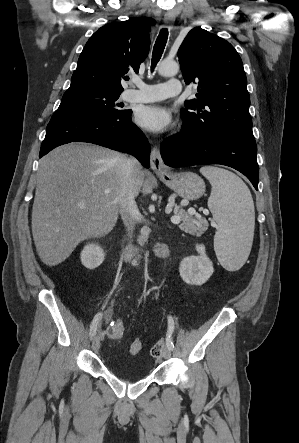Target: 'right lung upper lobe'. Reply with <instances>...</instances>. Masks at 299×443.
<instances>
[{
    "label": "right lung upper lobe",
    "instance_id": "obj_1",
    "mask_svg": "<svg viewBox=\"0 0 299 443\" xmlns=\"http://www.w3.org/2000/svg\"><path fill=\"white\" fill-rule=\"evenodd\" d=\"M147 25L140 17L109 23L96 31L80 54L70 88L93 87L121 93L123 76L138 73L148 55Z\"/></svg>",
    "mask_w": 299,
    "mask_h": 443
}]
</instances>
